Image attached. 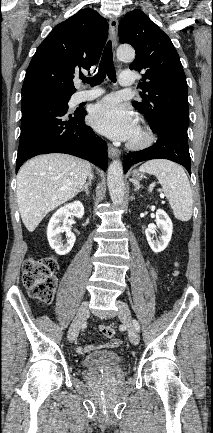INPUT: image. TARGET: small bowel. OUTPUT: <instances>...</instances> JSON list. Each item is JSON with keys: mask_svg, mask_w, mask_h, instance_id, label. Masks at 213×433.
<instances>
[{"mask_svg": "<svg viewBox=\"0 0 213 433\" xmlns=\"http://www.w3.org/2000/svg\"><path fill=\"white\" fill-rule=\"evenodd\" d=\"M150 274H151V276H152L153 279H157V273H156V271H155V269H154L153 266H150ZM120 343H121L120 339H112L111 341H109L106 344H104L103 347H105V348H115V347L119 346ZM94 348L95 347L91 346V345L78 346L76 348V351L79 354H85V353L93 350Z\"/></svg>", "mask_w": 213, "mask_h": 433, "instance_id": "1", "label": "small bowel"}]
</instances>
